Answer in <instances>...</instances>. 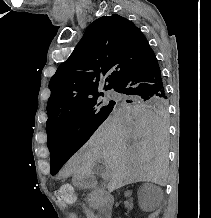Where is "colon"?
Here are the masks:
<instances>
[{"label":"colon","instance_id":"obj_1","mask_svg":"<svg viewBox=\"0 0 211 218\" xmlns=\"http://www.w3.org/2000/svg\"><path fill=\"white\" fill-rule=\"evenodd\" d=\"M56 197L60 202L64 204H72L75 202V199H76L74 189L68 183L62 184L58 188L56 192Z\"/></svg>","mask_w":211,"mask_h":218}]
</instances>
